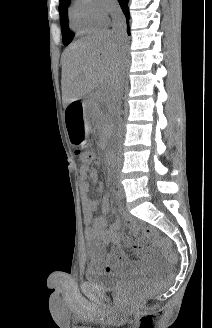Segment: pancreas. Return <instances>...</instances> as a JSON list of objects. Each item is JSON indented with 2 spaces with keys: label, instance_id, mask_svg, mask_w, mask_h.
Returning <instances> with one entry per match:
<instances>
[{
  "label": "pancreas",
  "instance_id": "1",
  "mask_svg": "<svg viewBox=\"0 0 212 328\" xmlns=\"http://www.w3.org/2000/svg\"><path fill=\"white\" fill-rule=\"evenodd\" d=\"M101 102L108 103V99L105 95L98 93L94 96V102H93L94 112L96 117H98L99 125L103 129V133L105 134L106 131L108 130L107 125H108L109 115L104 114L100 111L98 106L99 103Z\"/></svg>",
  "mask_w": 212,
  "mask_h": 328
}]
</instances>
